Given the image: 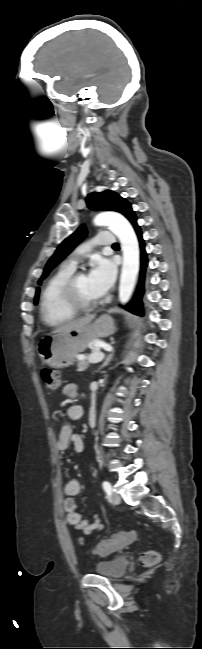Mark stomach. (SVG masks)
I'll return each mask as SVG.
<instances>
[{"mask_svg": "<svg viewBox=\"0 0 202 649\" xmlns=\"http://www.w3.org/2000/svg\"><path fill=\"white\" fill-rule=\"evenodd\" d=\"M114 332L115 326L111 317L102 315L94 323L83 328L45 336L38 342V354L45 364L53 368L67 367L92 342Z\"/></svg>", "mask_w": 202, "mask_h": 649, "instance_id": "1", "label": "stomach"}]
</instances>
